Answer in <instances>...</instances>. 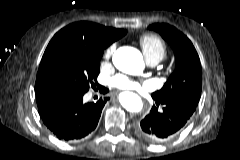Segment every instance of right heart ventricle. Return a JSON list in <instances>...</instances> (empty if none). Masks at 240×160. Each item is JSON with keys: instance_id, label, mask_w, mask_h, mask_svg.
Masks as SVG:
<instances>
[{"instance_id": "e07e8e85", "label": "right heart ventricle", "mask_w": 240, "mask_h": 160, "mask_svg": "<svg viewBox=\"0 0 240 160\" xmlns=\"http://www.w3.org/2000/svg\"><path fill=\"white\" fill-rule=\"evenodd\" d=\"M139 41L146 58L155 57L161 60L166 53L164 41L156 34H144Z\"/></svg>"}]
</instances>
